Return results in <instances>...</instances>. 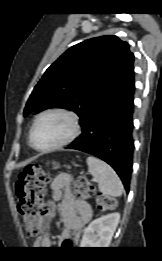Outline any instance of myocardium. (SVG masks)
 Instances as JSON below:
<instances>
[{"label":"myocardium","mask_w":162,"mask_h":261,"mask_svg":"<svg viewBox=\"0 0 162 261\" xmlns=\"http://www.w3.org/2000/svg\"><path fill=\"white\" fill-rule=\"evenodd\" d=\"M52 114H58V115H62V116H65L66 118H68L70 121L71 129H70L69 133L63 139L58 141L57 143H55L51 146L45 147V148L37 147L34 143V130H35L38 122L43 117L52 115ZM79 133H80V121H79V117L77 116L76 113H74L73 111L66 109V108H59V107L50 108V109L42 111L41 113H39L36 116L32 126H31V129H30L29 142H30V145L32 146V148H34L35 150H37L39 152H49V151H53V150L62 148L64 146L70 144L77 138Z\"/></svg>","instance_id":"f54148a6"}]
</instances>
